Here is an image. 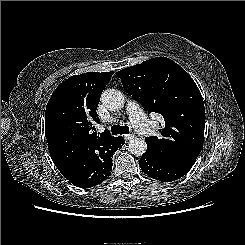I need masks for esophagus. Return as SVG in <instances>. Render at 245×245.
Returning <instances> with one entry per match:
<instances>
[{
  "instance_id": "obj_1",
  "label": "esophagus",
  "mask_w": 245,
  "mask_h": 245,
  "mask_svg": "<svg viewBox=\"0 0 245 245\" xmlns=\"http://www.w3.org/2000/svg\"><path fill=\"white\" fill-rule=\"evenodd\" d=\"M134 137H135V135H134L133 133L124 135V138H125L126 140H131V139H133Z\"/></svg>"
}]
</instances>
